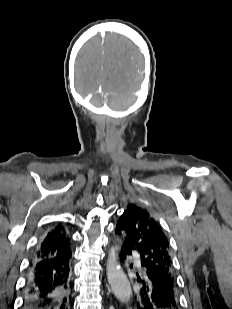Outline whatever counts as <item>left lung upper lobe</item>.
Returning a JSON list of instances; mask_svg holds the SVG:
<instances>
[{
  "label": "left lung upper lobe",
  "instance_id": "5c2ea615",
  "mask_svg": "<svg viewBox=\"0 0 232 309\" xmlns=\"http://www.w3.org/2000/svg\"><path fill=\"white\" fill-rule=\"evenodd\" d=\"M116 231L140 255L141 265L158 274L178 301L170 244L159 223L145 209L130 204L118 219Z\"/></svg>",
  "mask_w": 232,
  "mask_h": 309
}]
</instances>
